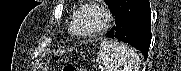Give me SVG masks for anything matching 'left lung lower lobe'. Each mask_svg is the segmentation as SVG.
Wrapping results in <instances>:
<instances>
[{"instance_id": "1", "label": "left lung lower lobe", "mask_w": 181, "mask_h": 71, "mask_svg": "<svg viewBox=\"0 0 181 71\" xmlns=\"http://www.w3.org/2000/svg\"><path fill=\"white\" fill-rule=\"evenodd\" d=\"M110 10L115 16L116 27L107 36L134 46L147 58L152 38L149 0H116Z\"/></svg>"}]
</instances>
